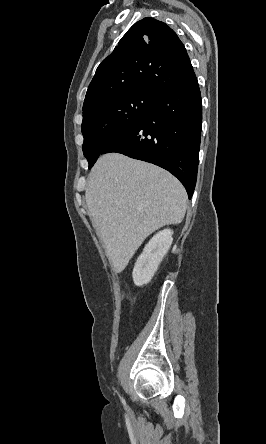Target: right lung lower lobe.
Instances as JSON below:
<instances>
[{
	"instance_id": "98d812e1",
	"label": "right lung lower lobe",
	"mask_w": 266,
	"mask_h": 444,
	"mask_svg": "<svg viewBox=\"0 0 266 444\" xmlns=\"http://www.w3.org/2000/svg\"><path fill=\"white\" fill-rule=\"evenodd\" d=\"M202 101L196 76L158 96L150 113L111 140L102 154L117 152L158 165L184 185L191 199L199 162Z\"/></svg>"
}]
</instances>
